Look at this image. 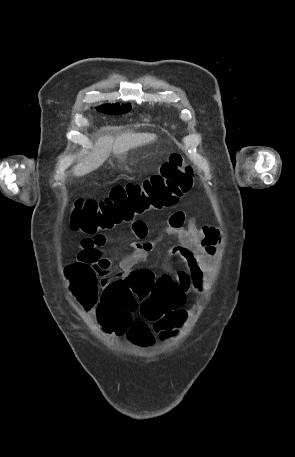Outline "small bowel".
<instances>
[{
  "label": "small bowel",
  "mask_w": 295,
  "mask_h": 457,
  "mask_svg": "<svg viewBox=\"0 0 295 457\" xmlns=\"http://www.w3.org/2000/svg\"><path fill=\"white\" fill-rule=\"evenodd\" d=\"M129 233L136 240L129 244L131 253L125 256L119 264L123 280L130 272L136 271L134 267L147 258L156 244L155 241H144L148 233L144 220L137 219L132 222L129 226ZM164 234L176 238L177 244L170 248L169 255L178 258L184 264V269L175 274L174 282L177 287V299L182 307L189 292L202 291L204 277L213 269V259L221 239L220 231L212 226L198 227L194 217L187 219L184 211L177 210L170 215ZM107 240V235L103 233L84 237L80 242L78 261L108 269L110 261L100 249ZM165 276L168 275L161 277ZM107 281L108 279H104L102 285L105 286Z\"/></svg>",
  "instance_id": "1"
}]
</instances>
